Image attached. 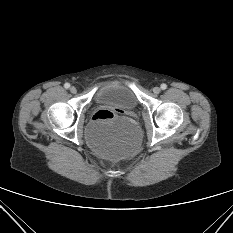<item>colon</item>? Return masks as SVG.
<instances>
[{"mask_svg": "<svg viewBox=\"0 0 233 233\" xmlns=\"http://www.w3.org/2000/svg\"><path fill=\"white\" fill-rule=\"evenodd\" d=\"M113 113L110 110H99L95 113L93 119L97 122H108L113 119Z\"/></svg>", "mask_w": 233, "mask_h": 233, "instance_id": "colon-1", "label": "colon"}]
</instances>
